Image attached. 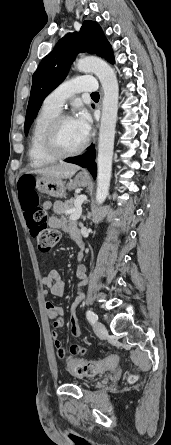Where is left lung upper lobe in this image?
<instances>
[{"instance_id":"obj_1","label":"left lung upper lobe","mask_w":171,"mask_h":445,"mask_svg":"<svg viewBox=\"0 0 171 445\" xmlns=\"http://www.w3.org/2000/svg\"><path fill=\"white\" fill-rule=\"evenodd\" d=\"M82 52L114 62L111 45L96 22L86 20L79 32L68 33L61 38L33 74L24 125L26 135L45 97L65 79L75 56Z\"/></svg>"}]
</instances>
